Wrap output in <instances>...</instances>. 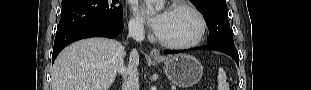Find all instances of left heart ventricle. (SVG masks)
<instances>
[{"mask_svg":"<svg viewBox=\"0 0 311 90\" xmlns=\"http://www.w3.org/2000/svg\"><path fill=\"white\" fill-rule=\"evenodd\" d=\"M198 28V22L192 13L183 9L169 10L158 35L171 42H187L196 36Z\"/></svg>","mask_w":311,"mask_h":90,"instance_id":"obj_1","label":"left heart ventricle"}]
</instances>
